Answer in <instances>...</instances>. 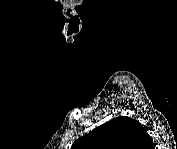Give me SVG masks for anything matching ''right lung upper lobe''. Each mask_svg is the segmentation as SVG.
Instances as JSON below:
<instances>
[{
  "label": "right lung upper lobe",
  "mask_w": 177,
  "mask_h": 149,
  "mask_svg": "<svg viewBox=\"0 0 177 149\" xmlns=\"http://www.w3.org/2000/svg\"><path fill=\"white\" fill-rule=\"evenodd\" d=\"M147 136L137 120L117 117L77 139L71 149H148L152 146L143 142Z\"/></svg>",
  "instance_id": "1"
}]
</instances>
